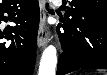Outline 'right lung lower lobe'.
<instances>
[{
    "label": "right lung lower lobe",
    "instance_id": "obj_1",
    "mask_svg": "<svg viewBox=\"0 0 107 75\" xmlns=\"http://www.w3.org/2000/svg\"><path fill=\"white\" fill-rule=\"evenodd\" d=\"M10 19L17 25L0 29V75H32L39 26L38 0H3L0 23Z\"/></svg>",
    "mask_w": 107,
    "mask_h": 75
}]
</instances>
